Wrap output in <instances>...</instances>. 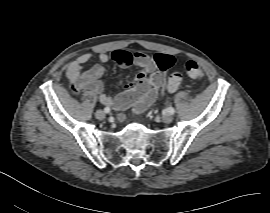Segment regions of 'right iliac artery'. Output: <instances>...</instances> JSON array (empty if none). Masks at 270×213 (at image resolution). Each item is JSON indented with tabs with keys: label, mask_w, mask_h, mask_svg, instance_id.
<instances>
[{
	"label": "right iliac artery",
	"mask_w": 270,
	"mask_h": 213,
	"mask_svg": "<svg viewBox=\"0 0 270 213\" xmlns=\"http://www.w3.org/2000/svg\"><path fill=\"white\" fill-rule=\"evenodd\" d=\"M110 111H111V109H110L109 107H105V108H104V112H105V113H109Z\"/></svg>",
	"instance_id": "1"
}]
</instances>
